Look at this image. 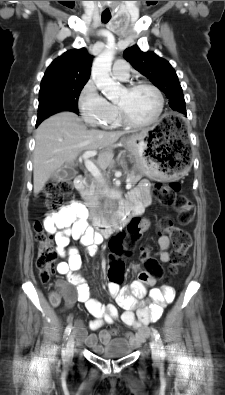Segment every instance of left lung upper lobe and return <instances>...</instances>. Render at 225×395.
<instances>
[{"label":"left lung upper lobe","instance_id":"5c2ea615","mask_svg":"<svg viewBox=\"0 0 225 395\" xmlns=\"http://www.w3.org/2000/svg\"><path fill=\"white\" fill-rule=\"evenodd\" d=\"M125 59L146 76L169 99L171 109L187 115L182 88L176 72L168 61L154 52H143L135 45L124 51Z\"/></svg>","mask_w":225,"mask_h":395}]
</instances>
